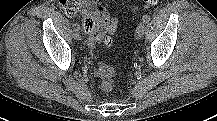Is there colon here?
I'll return each instance as SVG.
<instances>
[{
	"label": "colon",
	"mask_w": 217,
	"mask_h": 121,
	"mask_svg": "<svg viewBox=\"0 0 217 121\" xmlns=\"http://www.w3.org/2000/svg\"><path fill=\"white\" fill-rule=\"evenodd\" d=\"M158 0H143V5L135 4L131 6L134 12L142 8H148L156 5ZM59 7L70 16L82 14V26L85 32L96 35L103 34L107 28L108 15L103 0H58ZM104 44L111 46L113 39L104 38ZM98 73L102 77L101 88L105 92L113 89V83L110 78L114 75L115 70L105 61L98 62Z\"/></svg>",
	"instance_id": "1"
}]
</instances>
